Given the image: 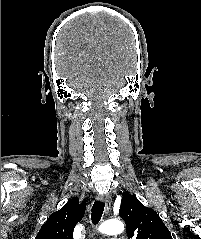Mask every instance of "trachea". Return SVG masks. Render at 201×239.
Listing matches in <instances>:
<instances>
[{"label": "trachea", "instance_id": "1", "mask_svg": "<svg viewBox=\"0 0 201 239\" xmlns=\"http://www.w3.org/2000/svg\"><path fill=\"white\" fill-rule=\"evenodd\" d=\"M104 202L95 201L91 209V221L94 225L98 224L101 220L104 211Z\"/></svg>", "mask_w": 201, "mask_h": 239}]
</instances>
